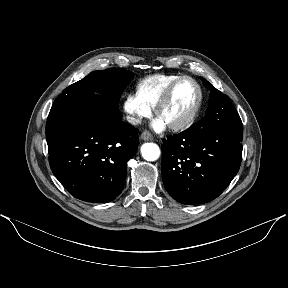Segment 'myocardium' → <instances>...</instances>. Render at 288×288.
I'll return each instance as SVG.
<instances>
[{
	"label": "myocardium",
	"instance_id": "obj_1",
	"mask_svg": "<svg viewBox=\"0 0 288 288\" xmlns=\"http://www.w3.org/2000/svg\"><path fill=\"white\" fill-rule=\"evenodd\" d=\"M183 80H189V81L193 82V84L196 86L197 99H196V102H195L193 109L183 120L176 122L174 124L168 125V127L173 131H181V130H184V129L190 127L195 122V120H196V118L200 112L202 101H203V92H202V88H201L200 84L193 77L188 76V75H182V76H179L178 78H176L167 87V89L164 91V93L160 97L159 101L157 102V104L155 106L156 116L159 117L163 108L169 103L175 88Z\"/></svg>",
	"mask_w": 288,
	"mask_h": 288
}]
</instances>
